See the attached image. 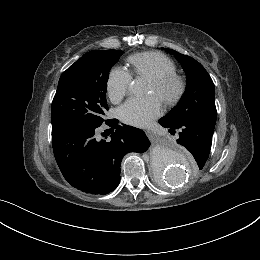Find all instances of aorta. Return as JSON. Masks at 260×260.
<instances>
[{"mask_svg":"<svg viewBox=\"0 0 260 260\" xmlns=\"http://www.w3.org/2000/svg\"><path fill=\"white\" fill-rule=\"evenodd\" d=\"M130 94L142 95L144 85L139 80H134L129 85ZM151 165L155 177L169 186L183 183L190 175L191 162L181 151L164 145H155L151 152Z\"/></svg>","mask_w":260,"mask_h":260,"instance_id":"1","label":"aorta"}]
</instances>
